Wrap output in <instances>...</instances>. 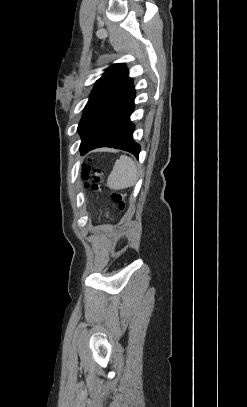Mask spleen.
Returning a JSON list of instances; mask_svg holds the SVG:
<instances>
[{
  "instance_id": "1",
  "label": "spleen",
  "mask_w": 247,
  "mask_h": 407,
  "mask_svg": "<svg viewBox=\"0 0 247 407\" xmlns=\"http://www.w3.org/2000/svg\"><path fill=\"white\" fill-rule=\"evenodd\" d=\"M137 175L135 162L130 157L121 155L114 164L107 179V185L113 190L129 188L136 183Z\"/></svg>"
}]
</instances>
